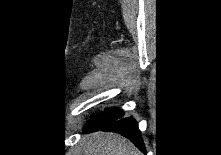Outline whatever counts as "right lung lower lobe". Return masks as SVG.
<instances>
[{
  "mask_svg": "<svg viewBox=\"0 0 221 155\" xmlns=\"http://www.w3.org/2000/svg\"><path fill=\"white\" fill-rule=\"evenodd\" d=\"M121 110L111 108L96 114L83 129L84 133H90L102 129L103 131L117 132L130 139L141 151L145 152V147L138 129V125L133 118H123Z\"/></svg>",
  "mask_w": 221,
  "mask_h": 155,
  "instance_id": "1",
  "label": "right lung lower lobe"
}]
</instances>
